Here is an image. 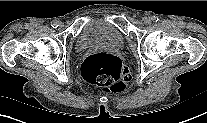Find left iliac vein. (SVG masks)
Listing matches in <instances>:
<instances>
[{
  "label": "left iliac vein",
  "instance_id": "4c4485c4",
  "mask_svg": "<svg viewBox=\"0 0 207 123\" xmlns=\"http://www.w3.org/2000/svg\"><path fill=\"white\" fill-rule=\"evenodd\" d=\"M143 22H144V23H150V19L147 18V17H144V18H143Z\"/></svg>",
  "mask_w": 207,
  "mask_h": 123
}]
</instances>
